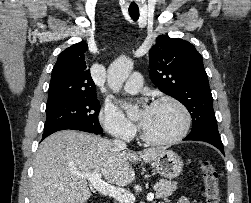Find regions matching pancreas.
Listing matches in <instances>:
<instances>
[{"label": "pancreas", "instance_id": "pancreas-1", "mask_svg": "<svg viewBox=\"0 0 251 203\" xmlns=\"http://www.w3.org/2000/svg\"><path fill=\"white\" fill-rule=\"evenodd\" d=\"M176 182L168 180H159L155 185V195L157 198H165L170 196L176 190ZM124 203V202H119Z\"/></svg>", "mask_w": 251, "mask_h": 203}]
</instances>
